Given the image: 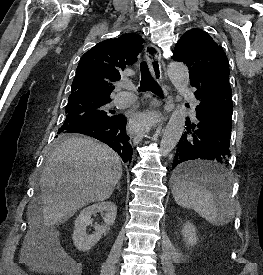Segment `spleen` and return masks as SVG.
<instances>
[{
    "mask_svg": "<svg viewBox=\"0 0 263 275\" xmlns=\"http://www.w3.org/2000/svg\"><path fill=\"white\" fill-rule=\"evenodd\" d=\"M196 165L203 169L219 171L224 176V180L219 183V191L214 195L197 182L179 180L172 189L176 203L183 208L193 209L213 225L227 224L234 216L228 171L212 162H198Z\"/></svg>",
    "mask_w": 263,
    "mask_h": 275,
    "instance_id": "spleen-1",
    "label": "spleen"
}]
</instances>
